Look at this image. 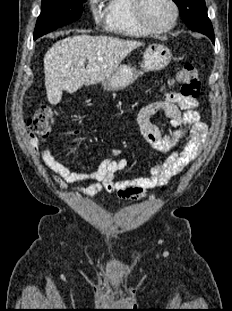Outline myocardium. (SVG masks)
<instances>
[{
	"label": "myocardium",
	"mask_w": 232,
	"mask_h": 311,
	"mask_svg": "<svg viewBox=\"0 0 232 311\" xmlns=\"http://www.w3.org/2000/svg\"><path fill=\"white\" fill-rule=\"evenodd\" d=\"M168 2L170 3L173 9L172 21L169 25L158 28V27H154L151 24H149L145 18V15H144L145 0H133V13H134V17L137 23L149 33H165V32L172 30L178 21L179 8L175 0H168Z\"/></svg>",
	"instance_id": "obj_1"
}]
</instances>
